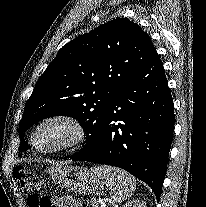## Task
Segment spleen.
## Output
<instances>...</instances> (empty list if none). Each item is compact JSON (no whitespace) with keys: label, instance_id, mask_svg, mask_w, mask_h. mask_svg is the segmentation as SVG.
<instances>
[{"label":"spleen","instance_id":"obj_1","mask_svg":"<svg viewBox=\"0 0 206 207\" xmlns=\"http://www.w3.org/2000/svg\"><path fill=\"white\" fill-rule=\"evenodd\" d=\"M91 171L109 187L114 202L127 200L136 189L135 178L124 170L111 166H95Z\"/></svg>","mask_w":206,"mask_h":207}]
</instances>
